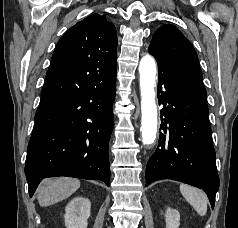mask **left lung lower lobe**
Instances as JSON below:
<instances>
[{"label":"left lung lower lobe","instance_id":"left-lung-lower-lobe-1","mask_svg":"<svg viewBox=\"0 0 238 228\" xmlns=\"http://www.w3.org/2000/svg\"><path fill=\"white\" fill-rule=\"evenodd\" d=\"M163 104L158 147L146 167V186L172 179L203 189L212 208L219 188L207 95L158 64ZM165 117V118H163ZM163 130V133L161 132Z\"/></svg>","mask_w":238,"mask_h":228}]
</instances>
